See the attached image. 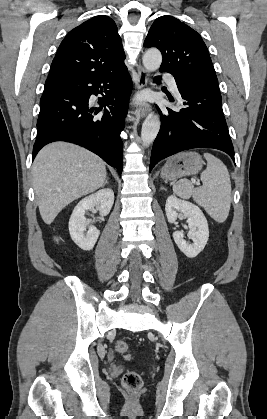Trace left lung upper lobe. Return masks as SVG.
<instances>
[{"mask_svg":"<svg viewBox=\"0 0 267 419\" xmlns=\"http://www.w3.org/2000/svg\"><path fill=\"white\" fill-rule=\"evenodd\" d=\"M145 47L158 48L163 57L160 71L218 86L217 76L202 37L178 19L165 15L152 24Z\"/></svg>","mask_w":267,"mask_h":419,"instance_id":"5c2ea615","label":"left lung upper lobe"}]
</instances>
